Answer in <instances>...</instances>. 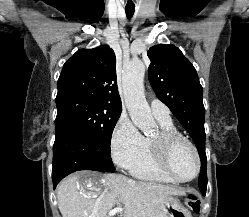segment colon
Listing matches in <instances>:
<instances>
[{"label":"colon","instance_id":"obj_1","mask_svg":"<svg viewBox=\"0 0 249 217\" xmlns=\"http://www.w3.org/2000/svg\"><path fill=\"white\" fill-rule=\"evenodd\" d=\"M185 204L192 212L197 213L200 211V200L194 193L188 194Z\"/></svg>","mask_w":249,"mask_h":217}]
</instances>
